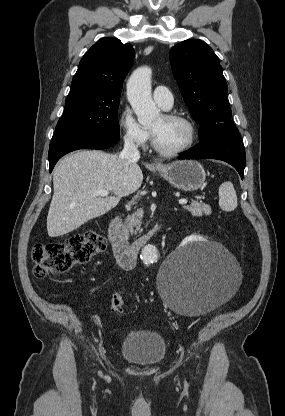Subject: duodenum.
I'll list each match as a JSON object with an SVG mask.
<instances>
[{
  "label": "duodenum",
  "instance_id": "1",
  "mask_svg": "<svg viewBox=\"0 0 285 416\" xmlns=\"http://www.w3.org/2000/svg\"><path fill=\"white\" fill-rule=\"evenodd\" d=\"M161 229L162 225H158L148 236L141 237L131 243L124 234L120 217H113L108 226V236L112 244L114 256L119 263V266L124 270L134 269L137 265L142 247L149 238L157 235Z\"/></svg>",
  "mask_w": 285,
  "mask_h": 416
}]
</instances>
